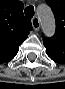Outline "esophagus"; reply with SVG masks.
<instances>
[{"label":"esophagus","mask_w":65,"mask_h":89,"mask_svg":"<svg viewBox=\"0 0 65 89\" xmlns=\"http://www.w3.org/2000/svg\"><path fill=\"white\" fill-rule=\"evenodd\" d=\"M32 26H33L35 31H39V29H40V21H39L38 17H34L32 19Z\"/></svg>","instance_id":"34e87169"}]
</instances>
